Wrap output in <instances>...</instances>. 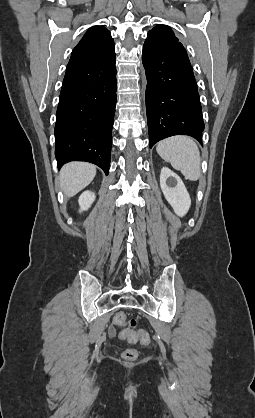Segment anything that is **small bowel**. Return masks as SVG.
<instances>
[{
	"label": "small bowel",
	"instance_id": "small-bowel-1",
	"mask_svg": "<svg viewBox=\"0 0 255 418\" xmlns=\"http://www.w3.org/2000/svg\"><path fill=\"white\" fill-rule=\"evenodd\" d=\"M111 333H112V334L114 333V329H111Z\"/></svg>",
	"mask_w": 255,
	"mask_h": 418
}]
</instances>
